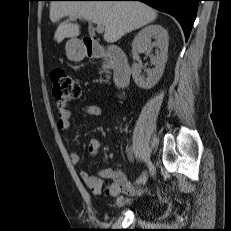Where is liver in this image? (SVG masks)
<instances>
[{"mask_svg":"<svg viewBox=\"0 0 231 231\" xmlns=\"http://www.w3.org/2000/svg\"><path fill=\"white\" fill-rule=\"evenodd\" d=\"M68 16L99 23L104 26V40L114 43L125 34L137 30L157 17V12L137 1H53L50 4V20L53 23ZM79 25L63 22L58 25L54 39L60 43L64 38L77 37Z\"/></svg>","mask_w":231,"mask_h":231,"instance_id":"1","label":"liver"}]
</instances>
